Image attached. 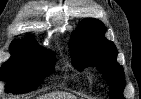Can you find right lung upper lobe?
Listing matches in <instances>:
<instances>
[{
  "label": "right lung upper lobe",
  "mask_w": 141,
  "mask_h": 99,
  "mask_svg": "<svg viewBox=\"0 0 141 99\" xmlns=\"http://www.w3.org/2000/svg\"><path fill=\"white\" fill-rule=\"evenodd\" d=\"M28 41H24V40H15L13 41V43H25V44H30V45H35L34 43L30 42L33 40V37L32 36H29L27 38Z\"/></svg>",
  "instance_id": "1"
}]
</instances>
